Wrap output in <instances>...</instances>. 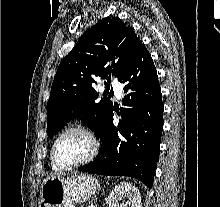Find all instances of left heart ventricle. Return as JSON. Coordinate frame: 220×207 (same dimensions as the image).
Returning <instances> with one entry per match:
<instances>
[{"label":"left heart ventricle","mask_w":220,"mask_h":207,"mask_svg":"<svg viewBox=\"0 0 220 207\" xmlns=\"http://www.w3.org/2000/svg\"><path fill=\"white\" fill-rule=\"evenodd\" d=\"M91 151V143L79 132L63 136L56 147V160L60 165H70L83 160Z\"/></svg>","instance_id":"left-heart-ventricle-1"}]
</instances>
